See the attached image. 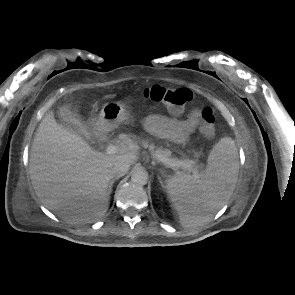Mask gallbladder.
<instances>
[{
    "mask_svg": "<svg viewBox=\"0 0 295 295\" xmlns=\"http://www.w3.org/2000/svg\"><path fill=\"white\" fill-rule=\"evenodd\" d=\"M59 123L65 128L75 132L80 133L78 123L81 120L80 115L77 111L71 110L68 106L60 107L58 110Z\"/></svg>",
    "mask_w": 295,
    "mask_h": 295,
    "instance_id": "gallbladder-1",
    "label": "gallbladder"
}]
</instances>
